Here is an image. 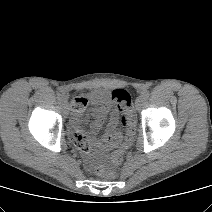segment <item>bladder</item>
<instances>
[{
  "label": "bladder",
  "mask_w": 212,
  "mask_h": 212,
  "mask_svg": "<svg viewBox=\"0 0 212 212\" xmlns=\"http://www.w3.org/2000/svg\"><path fill=\"white\" fill-rule=\"evenodd\" d=\"M74 117L78 118V119H79V121H81V118H79L77 115H74Z\"/></svg>",
  "instance_id": "bladder-1"
}]
</instances>
